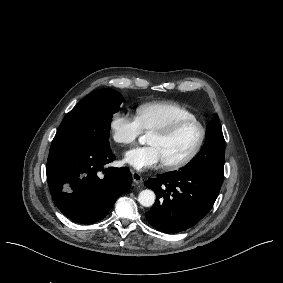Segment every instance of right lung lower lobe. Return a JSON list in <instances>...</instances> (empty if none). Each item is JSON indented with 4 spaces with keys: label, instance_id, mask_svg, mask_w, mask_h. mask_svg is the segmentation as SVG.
<instances>
[{
    "label": "right lung lower lobe",
    "instance_id": "obj_1",
    "mask_svg": "<svg viewBox=\"0 0 283 283\" xmlns=\"http://www.w3.org/2000/svg\"><path fill=\"white\" fill-rule=\"evenodd\" d=\"M115 160L111 149L70 145L50 148L46 173L59 210L78 223L102 220L132 182L128 168L105 169Z\"/></svg>",
    "mask_w": 283,
    "mask_h": 283
}]
</instances>
